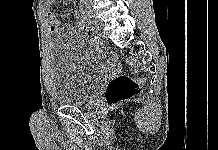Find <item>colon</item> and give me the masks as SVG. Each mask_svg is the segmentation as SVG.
<instances>
[{
	"label": "colon",
	"mask_w": 218,
	"mask_h": 150,
	"mask_svg": "<svg viewBox=\"0 0 218 150\" xmlns=\"http://www.w3.org/2000/svg\"><path fill=\"white\" fill-rule=\"evenodd\" d=\"M80 30L87 35H92L90 29L85 25L80 26ZM97 42L106 49V46L102 42L98 40ZM112 55L115 56V53H112ZM141 87L142 79L137 71H133L132 75H118L106 87V101L112 107L118 106L137 96L141 92Z\"/></svg>",
	"instance_id": "obj_1"
}]
</instances>
